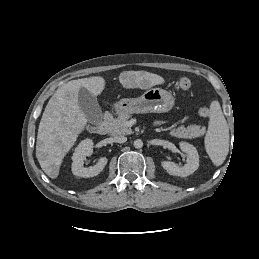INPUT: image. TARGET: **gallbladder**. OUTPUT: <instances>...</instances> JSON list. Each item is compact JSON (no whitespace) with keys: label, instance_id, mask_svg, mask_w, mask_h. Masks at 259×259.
Listing matches in <instances>:
<instances>
[{"label":"gallbladder","instance_id":"bac80fb5","mask_svg":"<svg viewBox=\"0 0 259 259\" xmlns=\"http://www.w3.org/2000/svg\"><path fill=\"white\" fill-rule=\"evenodd\" d=\"M78 103L90 123L99 124L102 121L103 113L96 96L84 87L79 89Z\"/></svg>","mask_w":259,"mask_h":259}]
</instances>
